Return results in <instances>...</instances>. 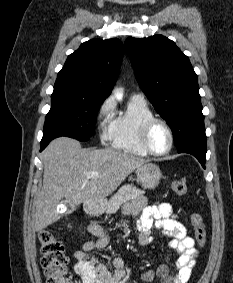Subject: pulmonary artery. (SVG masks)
Segmentation results:
<instances>
[{"mask_svg": "<svg viewBox=\"0 0 233 283\" xmlns=\"http://www.w3.org/2000/svg\"><path fill=\"white\" fill-rule=\"evenodd\" d=\"M131 99L133 100H137V101H145V97L144 95L140 94V93H134L131 95Z\"/></svg>", "mask_w": 233, "mask_h": 283, "instance_id": "e3ab8cb5", "label": "pulmonary artery"}]
</instances>
